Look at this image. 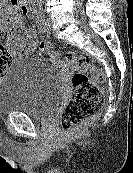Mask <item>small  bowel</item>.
<instances>
[{"instance_id": "small-bowel-1", "label": "small bowel", "mask_w": 133, "mask_h": 173, "mask_svg": "<svg viewBox=\"0 0 133 173\" xmlns=\"http://www.w3.org/2000/svg\"><path fill=\"white\" fill-rule=\"evenodd\" d=\"M11 3L16 6L12 0ZM10 21L13 24L10 41L7 46L3 47L8 52L9 56L12 57L32 56L37 48V37L35 32L32 29H26L23 33H20L21 17L19 15H12Z\"/></svg>"}]
</instances>
